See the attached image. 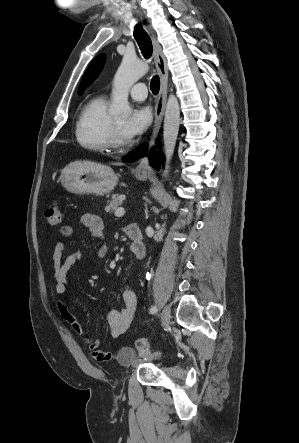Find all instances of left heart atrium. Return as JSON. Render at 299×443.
<instances>
[{
	"mask_svg": "<svg viewBox=\"0 0 299 443\" xmlns=\"http://www.w3.org/2000/svg\"><path fill=\"white\" fill-rule=\"evenodd\" d=\"M151 121L152 113L147 106L136 107L125 121L122 132L126 138L131 139L145 132Z\"/></svg>",
	"mask_w": 299,
	"mask_h": 443,
	"instance_id": "left-heart-atrium-1",
	"label": "left heart atrium"
}]
</instances>
